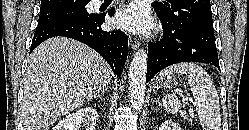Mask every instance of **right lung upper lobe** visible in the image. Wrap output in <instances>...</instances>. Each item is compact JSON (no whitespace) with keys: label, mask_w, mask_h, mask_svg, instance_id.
Returning <instances> with one entry per match:
<instances>
[{"label":"right lung upper lobe","mask_w":249,"mask_h":130,"mask_svg":"<svg viewBox=\"0 0 249 130\" xmlns=\"http://www.w3.org/2000/svg\"><path fill=\"white\" fill-rule=\"evenodd\" d=\"M82 2H89V0H42L41 9H61L74 7Z\"/></svg>","instance_id":"1"}]
</instances>
